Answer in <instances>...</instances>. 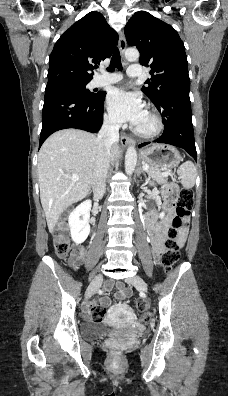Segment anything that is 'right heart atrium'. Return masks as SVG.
<instances>
[{
	"mask_svg": "<svg viewBox=\"0 0 228 396\" xmlns=\"http://www.w3.org/2000/svg\"><path fill=\"white\" fill-rule=\"evenodd\" d=\"M105 122L112 127L118 126L117 121H115L110 115L105 116Z\"/></svg>",
	"mask_w": 228,
	"mask_h": 396,
	"instance_id": "d8ad5b80",
	"label": "right heart atrium"
}]
</instances>
